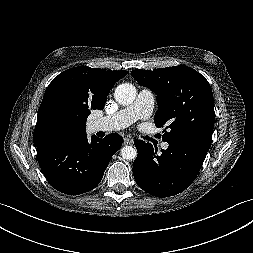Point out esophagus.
<instances>
[{"mask_svg": "<svg viewBox=\"0 0 253 253\" xmlns=\"http://www.w3.org/2000/svg\"><path fill=\"white\" fill-rule=\"evenodd\" d=\"M133 142H134L133 139L128 138V137H125L123 141L124 145H132Z\"/></svg>", "mask_w": 253, "mask_h": 253, "instance_id": "esophagus-1", "label": "esophagus"}]
</instances>
